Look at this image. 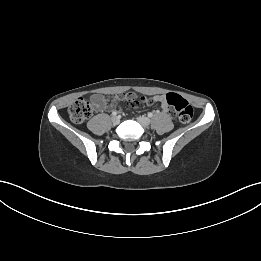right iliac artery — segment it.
<instances>
[{
	"label": "right iliac artery",
	"mask_w": 261,
	"mask_h": 261,
	"mask_svg": "<svg viewBox=\"0 0 261 261\" xmlns=\"http://www.w3.org/2000/svg\"><path fill=\"white\" fill-rule=\"evenodd\" d=\"M112 115H113V116H116V115H117V112H116V111H113V112H112Z\"/></svg>",
	"instance_id": "obj_1"
}]
</instances>
